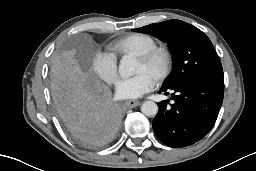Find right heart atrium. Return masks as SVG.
Instances as JSON below:
<instances>
[{
    "instance_id": "obj_1",
    "label": "right heart atrium",
    "mask_w": 256,
    "mask_h": 171,
    "mask_svg": "<svg viewBox=\"0 0 256 171\" xmlns=\"http://www.w3.org/2000/svg\"><path fill=\"white\" fill-rule=\"evenodd\" d=\"M92 69L109 84H114L118 79L117 57L112 52L98 51L92 59Z\"/></svg>"
}]
</instances>
